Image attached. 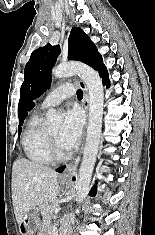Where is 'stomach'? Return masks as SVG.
<instances>
[{"label":"stomach","mask_w":155,"mask_h":235,"mask_svg":"<svg viewBox=\"0 0 155 235\" xmlns=\"http://www.w3.org/2000/svg\"><path fill=\"white\" fill-rule=\"evenodd\" d=\"M42 212V206L32 208L25 215L19 226L21 235H35L41 230L42 223L39 213Z\"/></svg>","instance_id":"obj_1"}]
</instances>
